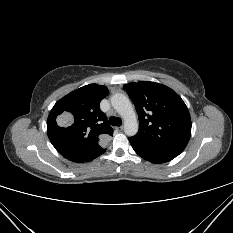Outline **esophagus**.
Segmentation results:
<instances>
[{
  "label": "esophagus",
  "mask_w": 233,
  "mask_h": 233,
  "mask_svg": "<svg viewBox=\"0 0 233 233\" xmlns=\"http://www.w3.org/2000/svg\"><path fill=\"white\" fill-rule=\"evenodd\" d=\"M116 130H117L118 132H121V131L123 130V127H122V126L116 127Z\"/></svg>",
  "instance_id": "esophagus-1"
}]
</instances>
